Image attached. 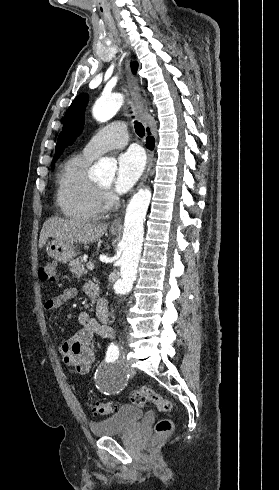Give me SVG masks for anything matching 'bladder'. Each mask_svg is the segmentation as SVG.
<instances>
[{
    "instance_id": "31cf9c89",
    "label": "bladder",
    "mask_w": 279,
    "mask_h": 490,
    "mask_svg": "<svg viewBox=\"0 0 279 490\" xmlns=\"http://www.w3.org/2000/svg\"><path fill=\"white\" fill-rule=\"evenodd\" d=\"M146 412L139 406L120 405V408L110 417L102 421H93L90 431L94 437L115 436L120 432L131 431L141 423Z\"/></svg>"
}]
</instances>
